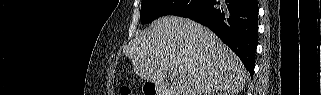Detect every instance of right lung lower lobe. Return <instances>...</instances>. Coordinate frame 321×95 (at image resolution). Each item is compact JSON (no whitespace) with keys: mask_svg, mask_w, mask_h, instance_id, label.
Instances as JSON below:
<instances>
[{"mask_svg":"<svg viewBox=\"0 0 321 95\" xmlns=\"http://www.w3.org/2000/svg\"><path fill=\"white\" fill-rule=\"evenodd\" d=\"M257 0H207L187 16L211 29L241 59L253 76L258 30Z\"/></svg>","mask_w":321,"mask_h":95,"instance_id":"obj_1","label":"right lung lower lobe"}]
</instances>
